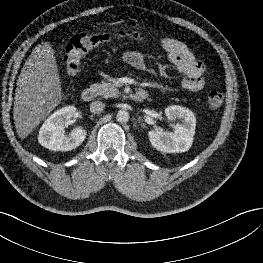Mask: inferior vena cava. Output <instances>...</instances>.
<instances>
[{
  "label": "inferior vena cava",
  "instance_id": "obj_1",
  "mask_svg": "<svg viewBox=\"0 0 263 263\" xmlns=\"http://www.w3.org/2000/svg\"><path fill=\"white\" fill-rule=\"evenodd\" d=\"M105 109V104L101 101H94L90 104V111L92 113H100Z\"/></svg>",
  "mask_w": 263,
  "mask_h": 263
}]
</instances>
